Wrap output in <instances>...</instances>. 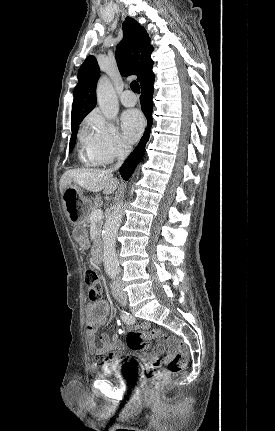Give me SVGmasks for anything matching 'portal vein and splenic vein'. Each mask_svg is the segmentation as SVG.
Here are the masks:
<instances>
[{"instance_id": "obj_1", "label": "portal vein and splenic vein", "mask_w": 275, "mask_h": 431, "mask_svg": "<svg viewBox=\"0 0 275 431\" xmlns=\"http://www.w3.org/2000/svg\"><path fill=\"white\" fill-rule=\"evenodd\" d=\"M103 218V212L101 209H97L91 213V221H100Z\"/></svg>"}]
</instances>
